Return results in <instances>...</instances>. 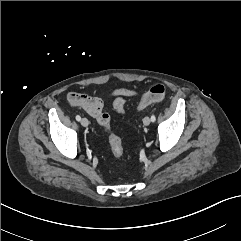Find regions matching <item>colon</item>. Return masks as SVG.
I'll return each mask as SVG.
<instances>
[{"label": "colon", "instance_id": "5ec220e1", "mask_svg": "<svg viewBox=\"0 0 241 241\" xmlns=\"http://www.w3.org/2000/svg\"><path fill=\"white\" fill-rule=\"evenodd\" d=\"M166 95V88L163 84L154 85L147 94H145L139 101L137 110H142L151 103L158 102L164 99ZM113 108L118 113H123L125 109V100L123 97L118 96L113 102ZM97 122L99 125L108 132L109 145L112 154L115 158L122 157L124 153V147L122 140L119 136L110 131L111 117L107 112H102L97 117Z\"/></svg>", "mask_w": 241, "mask_h": 241}]
</instances>
